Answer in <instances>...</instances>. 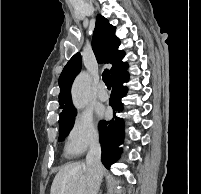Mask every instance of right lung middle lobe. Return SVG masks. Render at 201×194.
Listing matches in <instances>:
<instances>
[{
	"mask_svg": "<svg viewBox=\"0 0 201 194\" xmlns=\"http://www.w3.org/2000/svg\"><path fill=\"white\" fill-rule=\"evenodd\" d=\"M76 113L59 119V141H63L73 127Z\"/></svg>",
	"mask_w": 201,
	"mask_h": 194,
	"instance_id": "obj_1",
	"label": "right lung middle lobe"
}]
</instances>
